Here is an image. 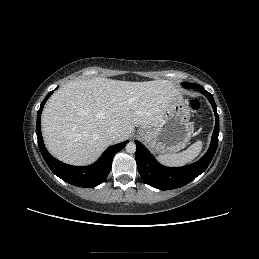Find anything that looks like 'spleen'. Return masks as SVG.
Returning a JSON list of instances; mask_svg holds the SVG:
<instances>
[{
  "mask_svg": "<svg viewBox=\"0 0 259 259\" xmlns=\"http://www.w3.org/2000/svg\"><path fill=\"white\" fill-rule=\"evenodd\" d=\"M203 143L202 141H197L192 144L188 149L182 151L178 154H165L158 156L160 163L171 166H183L192 162L202 151Z\"/></svg>",
  "mask_w": 259,
  "mask_h": 259,
  "instance_id": "3e777b00",
  "label": "spleen"
}]
</instances>
